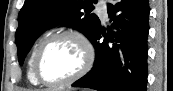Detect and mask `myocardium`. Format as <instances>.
I'll return each instance as SVG.
<instances>
[{
    "label": "myocardium",
    "mask_w": 173,
    "mask_h": 91,
    "mask_svg": "<svg viewBox=\"0 0 173 91\" xmlns=\"http://www.w3.org/2000/svg\"><path fill=\"white\" fill-rule=\"evenodd\" d=\"M60 38H71L77 41V43L80 45L83 51L84 59L80 69L76 73L71 75L70 77L59 82H49V81H46L41 76L40 60L47 46L50 43H52L54 40H57ZM94 61H95V48L92 41L88 38V36L78 30H63V31H59L49 35L41 42V44L36 50V53L33 59V73L36 80L47 87H52V88L64 87L66 85H69L75 82L76 80L80 79L85 74H87L89 70L92 68Z\"/></svg>",
    "instance_id": "1"
}]
</instances>
